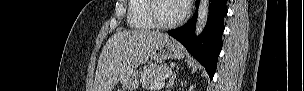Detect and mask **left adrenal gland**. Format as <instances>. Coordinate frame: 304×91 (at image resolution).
Returning <instances> with one entry per match:
<instances>
[{"label":"left adrenal gland","mask_w":304,"mask_h":91,"mask_svg":"<svg viewBox=\"0 0 304 91\" xmlns=\"http://www.w3.org/2000/svg\"><path fill=\"white\" fill-rule=\"evenodd\" d=\"M174 80H175V75H173L170 80H169V83H168V87H172L174 85Z\"/></svg>","instance_id":"left-adrenal-gland-1"}]
</instances>
